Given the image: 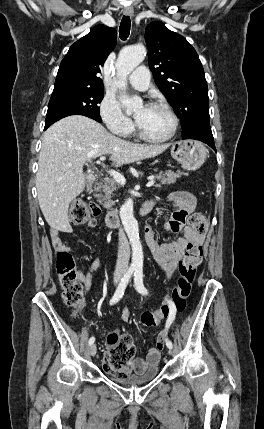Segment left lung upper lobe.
Instances as JSON below:
<instances>
[{
	"instance_id": "1",
	"label": "left lung upper lobe",
	"mask_w": 264,
	"mask_h": 429,
	"mask_svg": "<svg viewBox=\"0 0 264 429\" xmlns=\"http://www.w3.org/2000/svg\"><path fill=\"white\" fill-rule=\"evenodd\" d=\"M155 83L181 119L182 136L210 126L207 82L194 48L160 21L145 31Z\"/></svg>"
}]
</instances>
